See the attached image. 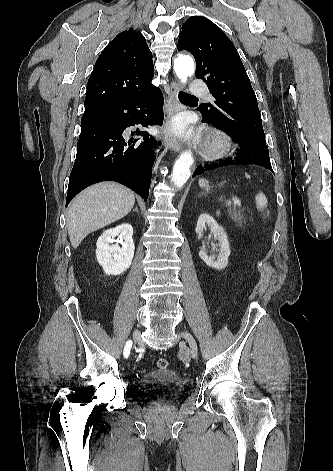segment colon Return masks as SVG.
Wrapping results in <instances>:
<instances>
[{"mask_svg":"<svg viewBox=\"0 0 333 471\" xmlns=\"http://www.w3.org/2000/svg\"><path fill=\"white\" fill-rule=\"evenodd\" d=\"M157 366H158L159 369L165 370V369L168 368L169 363H168V361H167L165 358H159V359L157 360Z\"/></svg>","mask_w":333,"mask_h":471,"instance_id":"obj_1","label":"colon"}]
</instances>
